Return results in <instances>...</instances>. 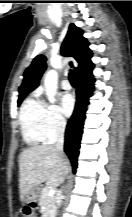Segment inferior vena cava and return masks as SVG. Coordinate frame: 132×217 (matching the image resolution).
<instances>
[{
  "instance_id": "obj_1",
  "label": "inferior vena cava",
  "mask_w": 132,
  "mask_h": 217,
  "mask_svg": "<svg viewBox=\"0 0 132 217\" xmlns=\"http://www.w3.org/2000/svg\"><path fill=\"white\" fill-rule=\"evenodd\" d=\"M65 126L66 122L65 121H60L58 125V131H57V141L55 144V148L63 154V148H64V132H65Z\"/></svg>"
}]
</instances>
